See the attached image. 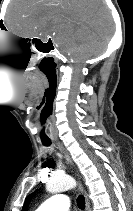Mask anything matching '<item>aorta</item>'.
Segmentation results:
<instances>
[{
  "mask_svg": "<svg viewBox=\"0 0 133 211\" xmlns=\"http://www.w3.org/2000/svg\"><path fill=\"white\" fill-rule=\"evenodd\" d=\"M76 186L74 178L68 175H56L46 183V190L50 193L63 192Z\"/></svg>",
  "mask_w": 133,
  "mask_h": 211,
  "instance_id": "aorta-1",
  "label": "aorta"
}]
</instances>
